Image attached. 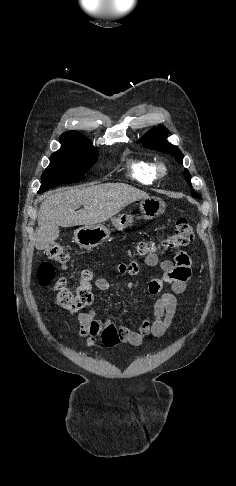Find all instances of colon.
Here are the masks:
<instances>
[{
	"label": "colon",
	"mask_w": 236,
	"mask_h": 486,
	"mask_svg": "<svg viewBox=\"0 0 236 486\" xmlns=\"http://www.w3.org/2000/svg\"><path fill=\"white\" fill-rule=\"evenodd\" d=\"M194 238L193 227L186 216H180L175 222V228L171 235L160 242L142 241L136 246V253L140 256L155 254L160 249H176L188 245ZM46 260L39 267V281L46 286L54 279V267L52 262L67 263L69 254L60 244L53 243L45 250ZM92 272L83 270L80 274V282L70 289L64 279H58L53 286L56 292V303L70 312H78L92 303L93 294L91 287Z\"/></svg>",
	"instance_id": "5ec220e1"
}]
</instances>
